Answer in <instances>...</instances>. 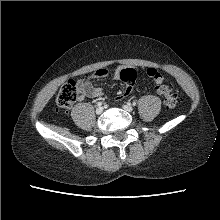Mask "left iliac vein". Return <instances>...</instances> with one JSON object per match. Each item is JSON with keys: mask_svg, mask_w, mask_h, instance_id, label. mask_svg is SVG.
I'll list each match as a JSON object with an SVG mask.
<instances>
[{"mask_svg": "<svg viewBox=\"0 0 220 220\" xmlns=\"http://www.w3.org/2000/svg\"><path fill=\"white\" fill-rule=\"evenodd\" d=\"M123 109L127 112L133 111V107L130 104L123 105Z\"/></svg>", "mask_w": 220, "mask_h": 220, "instance_id": "left-iliac-vein-1", "label": "left iliac vein"}]
</instances>
